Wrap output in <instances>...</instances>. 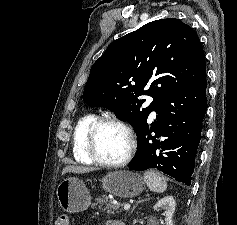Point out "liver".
I'll list each match as a JSON object with an SVG mask.
<instances>
[{"instance_id": "liver-1", "label": "liver", "mask_w": 237, "mask_h": 225, "mask_svg": "<svg viewBox=\"0 0 237 225\" xmlns=\"http://www.w3.org/2000/svg\"><path fill=\"white\" fill-rule=\"evenodd\" d=\"M94 170H96V168L69 165L63 168L62 175L66 173L83 174Z\"/></svg>"}]
</instances>
